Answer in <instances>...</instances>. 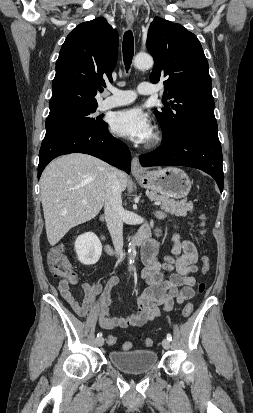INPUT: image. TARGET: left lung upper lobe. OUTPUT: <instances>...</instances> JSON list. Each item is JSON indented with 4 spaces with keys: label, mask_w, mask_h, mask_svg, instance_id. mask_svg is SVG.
<instances>
[{
    "label": "left lung upper lobe",
    "mask_w": 253,
    "mask_h": 413,
    "mask_svg": "<svg viewBox=\"0 0 253 413\" xmlns=\"http://www.w3.org/2000/svg\"><path fill=\"white\" fill-rule=\"evenodd\" d=\"M146 47L155 64L150 81L164 80L165 108L154 114L163 130V143L190 131L217 134L208 62L197 37L180 24L155 17Z\"/></svg>",
    "instance_id": "left-lung-upper-lobe-1"
}]
</instances>
